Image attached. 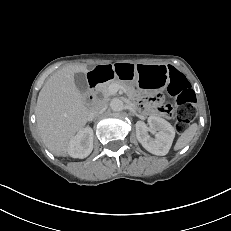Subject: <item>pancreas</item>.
Masks as SVG:
<instances>
[{"mask_svg":"<svg viewBox=\"0 0 231 231\" xmlns=\"http://www.w3.org/2000/svg\"><path fill=\"white\" fill-rule=\"evenodd\" d=\"M112 85H117L119 86V88L124 89L126 94L129 96V98H132L135 94V89L131 85L118 79L104 83L100 85L98 89L103 94L104 97H109L110 95H112V92L110 90V87Z\"/></svg>","mask_w":231,"mask_h":231,"instance_id":"pancreas-1","label":"pancreas"}]
</instances>
